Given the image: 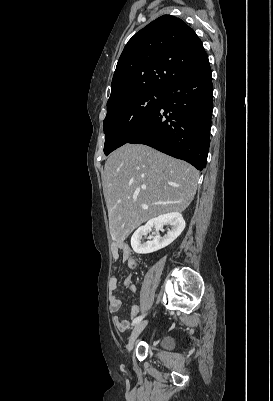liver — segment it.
<instances>
[{
    "label": "liver",
    "mask_w": 273,
    "mask_h": 401,
    "mask_svg": "<svg viewBox=\"0 0 273 401\" xmlns=\"http://www.w3.org/2000/svg\"><path fill=\"white\" fill-rule=\"evenodd\" d=\"M198 178V170L188 162L146 144H124L111 152L105 162L103 190L112 241L123 243L148 219L185 211L193 201Z\"/></svg>",
    "instance_id": "obj_1"
}]
</instances>
